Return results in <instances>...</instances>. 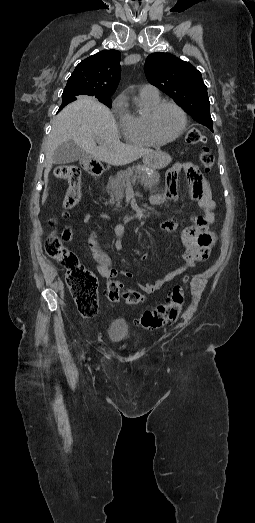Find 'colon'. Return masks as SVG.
I'll use <instances>...</instances> for the list:
<instances>
[{"instance_id": "5ec220e1", "label": "colon", "mask_w": 255, "mask_h": 523, "mask_svg": "<svg viewBox=\"0 0 255 523\" xmlns=\"http://www.w3.org/2000/svg\"><path fill=\"white\" fill-rule=\"evenodd\" d=\"M185 141L189 145H197L205 141L200 129L193 127L186 134ZM201 162L206 171H209L215 161L214 155L208 147H203L200 155ZM58 179L68 182V189L63 200L62 215L73 208L81 198V172L73 165L60 166L55 170ZM58 223L57 218L50 221L53 230L45 242L47 255L57 261L65 269L67 287L83 316H94L98 312V281L95 274L87 269L78 256L69 250L54 229ZM107 298L111 302L123 300L128 305H137L143 301V295L138 291H122L121 286L109 282L106 290ZM184 303V288L177 285L173 288L169 298L153 310L143 312L138 318V323L145 329H158L178 320Z\"/></svg>"}]
</instances>
